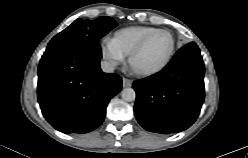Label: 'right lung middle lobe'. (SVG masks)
Returning <instances> with one entry per match:
<instances>
[{"label": "right lung middle lobe", "instance_id": "right-lung-middle-lobe-1", "mask_svg": "<svg viewBox=\"0 0 248 158\" xmlns=\"http://www.w3.org/2000/svg\"><path fill=\"white\" fill-rule=\"evenodd\" d=\"M117 26V23L111 17H100L90 22L77 19L65 30L57 34L54 38H88L98 40L106 35L110 30Z\"/></svg>", "mask_w": 248, "mask_h": 158}]
</instances>
